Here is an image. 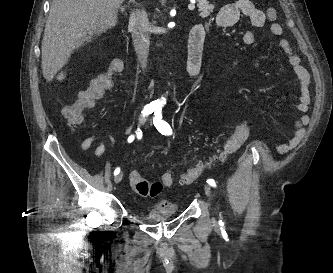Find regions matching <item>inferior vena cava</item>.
<instances>
[{
    "mask_svg": "<svg viewBox=\"0 0 333 273\" xmlns=\"http://www.w3.org/2000/svg\"><path fill=\"white\" fill-rule=\"evenodd\" d=\"M129 27L132 29V38L138 60L141 64L142 69H145L147 66V58L149 54L147 37L150 27L146 11H133L129 18Z\"/></svg>",
    "mask_w": 333,
    "mask_h": 273,
    "instance_id": "1",
    "label": "inferior vena cava"
}]
</instances>
